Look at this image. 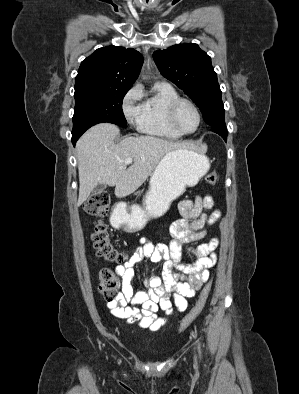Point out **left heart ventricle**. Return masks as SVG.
Returning <instances> with one entry per match:
<instances>
[{"instance_id":"1","label":"left heart ventricle","mask_w":299,"mask_h":394,"mask_svg":"<svg viewBox=\"0 0 299 394\" xmlns=\"http://www.w3.org/2000/svg\"><path fill=\"white\" fill-rule=\"evenodd\" d=\"M177 122L184 131H193L197 127L198 117L190 105L182 104L178 109Z\"/></svg>"}]
</instances>
